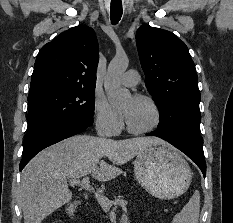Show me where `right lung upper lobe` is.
I'll list each match as a JSON object with an SVG mask.
<instances>
[{
	"label": "right lung upper lobe",
	"instance_id": "1",
	"mask_svg": "<svg viewBox=\"0 0 233 223\" xmlns=\"http://www.w3.org/2000/svg\"><path fill=\"white\" fill-rule=\"evenodd\" d=\"M98 42L87 26L73 27L39 51L30 93L52 88H94L98 65Z\"/></svg>",
	"mask_w": 233,
	"mask_h": 223
}]
</instances>
